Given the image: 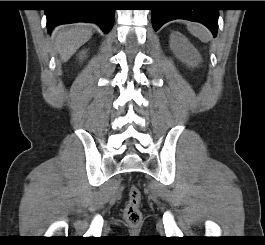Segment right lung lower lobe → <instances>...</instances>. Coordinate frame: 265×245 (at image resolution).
Returning <instances> with one entry per match:
<instances>
[{
  "mask_svg": "<svg viewBox=\"0 0 265 245\" xmlns=\"http://www.w3.org/2000/svg\"><path fill=\"white\" fill-rule=\"evenodd\" d=\"M64 7L45 10L47 28L73 22H91L98 24L104 33H108L114 23V12L110 1H62L56 2Z\"/></svg>",
  "mask_w": 265,
  "mask_h": 245,
  "instance_id": "1",
  "label": "right lung lower lobe"
}]
</instances>
